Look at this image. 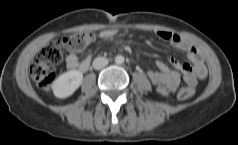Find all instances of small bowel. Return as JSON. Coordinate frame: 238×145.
<instances>
[{
    "label": "small bowel",
    "instance_id": "small-bowel-1",
    "mask_svg": "<svg viewBox=\"0 0 238 145\" xmlns=\"http://www.w3.org/2000/svg\"><path fill=\"white\" fill-rule=\"evenodd\" d=\"M116 33V29H105L100 32L99 36L102 39H111ZM157 36L162 40L170 42L174 47L184 51L187 58L193 63V70H191L188 63L181 62L175 58H170L171 64L185 73L184 79L190 86H195L198 80L206 77L207 69L203 60L199 56L197 49L185 38L177 33L166 30L157 31ZM91 56V51L87 50L85 57L79 61L78 56L71 53L66 57V65L69 69H78L82 72H86L91 64ZM156 66L158 71H148V77L151 82L156 85L157 90L163 95H168L170 92L175 91L180 84V74L177 71L170 69L163 61H157Z\"/></svg>",
    "mask_w": 238,
    "mask_h": 145
}]
</instances>
